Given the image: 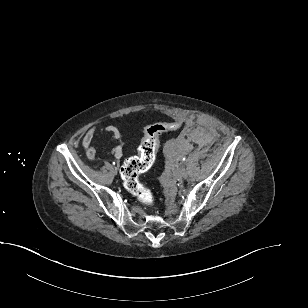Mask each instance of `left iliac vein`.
Returning <instances> with one entry per match:
<instances>
[{
	"label": "left iliac vein",
	"mask_w": 308,
	"mask_h": 308,
	"mask_svg": "<svg viewBox=\"0 0 308 308\" xmlns=\"http://www.w3.org/2000/svg\"><path fill=\"white\" fill-rule=\"evenodd\" d=\"M176 177H177V179H178L179 181H182L183 179H185V178L187 177V172H186V170H185V169H181V170L177 173Z\"/></svg>",
	"instance_id": "obj_1"
}]
</instances>
